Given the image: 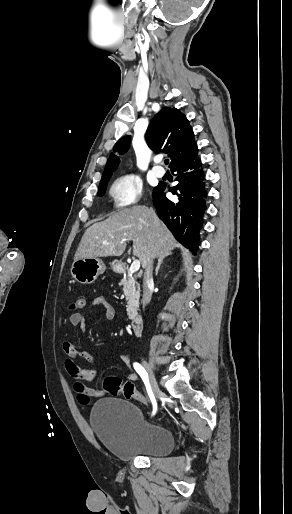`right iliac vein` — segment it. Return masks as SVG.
<instances>
[{
    "instance_id": "63e3f726",
    "label": "right iliac vein",
    "mask_w": 292,
    "mask_h": 514,
    "mask_svg": "<svg viewBox=\"0 0 292 514\" xmlns=\"http://www.w3.org/2000/svg\"><path fill=\"white\" fill-rule=\"evenodd\" d=\"M143 366L145 367V369L148 372L150 386H151V390H152L153 394L156 397H159L161 395V391H160V389L158 387V384L156 382L153 370L151 369V367L149 366V364L145 360L143 361Z\"/></svg>"
}]
</instances>
